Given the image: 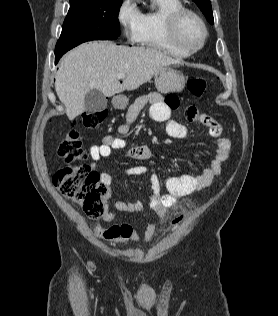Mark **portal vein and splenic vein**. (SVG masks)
Wrapping results in <instances>:
<instances>
[{"instance_id":"portal-vein-and-splenic-vein-1","label":"portal vein and splenic vein","mask_w":278,"mask_h":316,"mask_svg":"<svg viewBox=\"0 0 278 316\" xmlns=\"http://www.w3.org/2000/svg\"><path fill=\"white\" fill-rule=\"evenodd\" d=\"M117 76H118L119 79H124L125 78V74L124 73H119Z\"/></svg>"}]
</instances>
